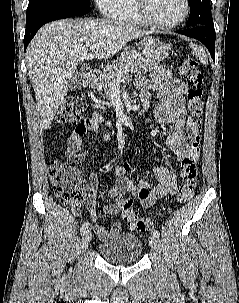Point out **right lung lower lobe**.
I'll return each mask as SVG.
<instances>
[{
    "label": "right lung lower lobe",
    "mask_w": 239,
    "mask_h": 303,
    "mask_svg": "<svg viewBox=\"0 0 239 303\" xmlns=\"http://www.w3.org/2000/svg\"><path fill=\"white\" fill-rule=\"evenodd\" d=\"M90 11V7L45 8L26 15L27 26L24 36V49L26 50L37 30L44 24L62 18L84 15Z\"/></svg>",
    "instance_id": "obj_1"
}]
</instances>
